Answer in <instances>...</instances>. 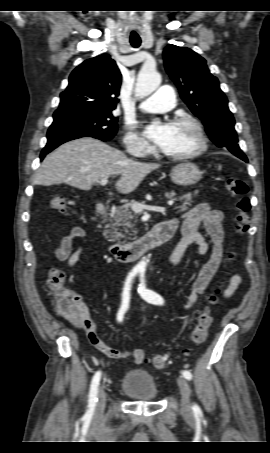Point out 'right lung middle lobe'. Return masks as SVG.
Returning <instances> with one entry per match:
<instances>
[{
	"mask_svg": "<svg viewBox=\"0 0 270 453\" xmlns=\"http://www.w3.org/2000/svg\"><path fill=\"white\" fill-rule=\"evenodd\" d=\"M117 128V117L112 111H85L54 117L47 138L70 139L88 136L107 141L115 136Z\"/></svg>",
	"mask_w": 270,
	"mask_h": 453,
	"instance_id": "right-lung-middle-lobe-1",
	"label": "right lung middle lobe"
}]
</instances>
